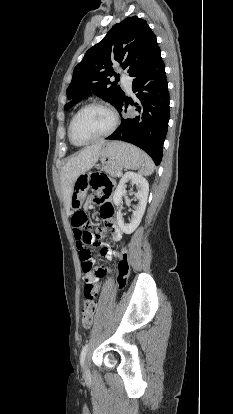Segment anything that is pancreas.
<instances>
[{"label": "pancreas", "mask_w": 233, "mask_h": 414, "mask_svg": "<svg viewBox=\"0 0 233 414\" xmlns=\"http://www.w3.org/2000/svg\"><path fill=\"white\" fill-rule=\"evenodd\" d=\"M106 172H108L112 177H121L122 173L120 169H104Z\"/></svg>", "instance_id": "pancreas-1"}]
</instances>
